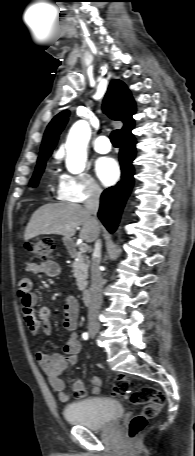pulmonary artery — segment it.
Listing matches in <instances>:
<instances>
[{
    "label": "pulmonary artery",
    "instance_id": "pulmonary-artery-1",
    "mask_svg": "<svg viewBox=\"0 0 195 456\" xmlns=\"http://www.w3.org/2000/svg\"><path fill=\"white\" fill-rule=\"evenodd\" d=\"M94 150L100 154H106L111 150V143L106 136H99L94 142Z\"/></svg>",
    "mask_w": 195,
    "mask_h": 456
}]
</instances>
